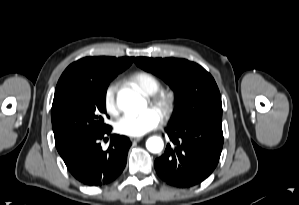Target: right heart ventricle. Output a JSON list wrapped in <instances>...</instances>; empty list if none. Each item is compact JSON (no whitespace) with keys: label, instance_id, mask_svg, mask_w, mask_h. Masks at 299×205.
<instances>
[{"label":"right heart ventricle","instance_id":"obj_1","mask_svg":"<svg viewBox=\"0 0 299 205\" xmlns=\"http://www.w3.org/2000/svg\"><path fill=\"white\" fill-rule=\"evenodd\" d=\"M129 82L137 90L145 95H151L160 88V81L151 73L140 71L129 77Z\"/></svg>","mask_w":299,"mask_h":205}]
</instances>
